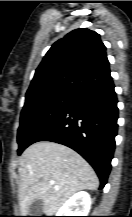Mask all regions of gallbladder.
<instances>
[{"instance_id":"bac80fb5","label":"gallbladder","mask_w":132,"mask_h":217,"mask_svg":"<svg viewBox=\"0 0 132 217\" xmlns=\"http://www.w3.org/2000/svg\"><path fill=\"white\" fill-rule=\"evenodd\" d=\"M43 213V201L41 199L34 200L29 207L30 216H41Z\"/></svg>"}]
</instances>
